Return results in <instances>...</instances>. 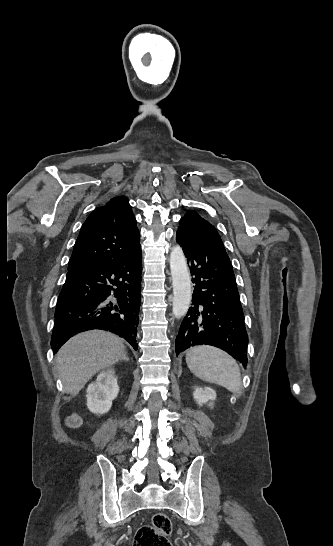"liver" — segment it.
Listing matches in <instances>:
<instances>
[{
	"label": "liver",
	"instance_id": "liver-1",
	"mask_svg": "<svg viewBox=\"0 0 333 546\" xmlns=\"http://www.w3.org/2000/svg\"><path fill=\"white\" fill-rule=\"evenodd\" d=\"M124 355L123 342L111 333L94 330L75 335L57 353L63 391L77 395L94 374Z\"/></svg>",
	"mask_w": 333,
	"mask_h": 546
}]
</instances>
